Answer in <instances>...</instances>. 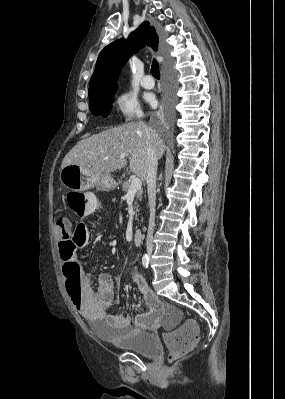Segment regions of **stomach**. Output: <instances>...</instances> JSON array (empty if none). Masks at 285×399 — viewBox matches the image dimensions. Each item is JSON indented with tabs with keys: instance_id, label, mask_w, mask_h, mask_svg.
I'll use <instances>...</instances> for the list:
<instances>
[{
	"instance_id": "0dacf381",
	"label": "stomach",
	"mask_w": 285,
	"mask_h": 399,
	"mask_svg": "<svg viewBox=\"0 0 285 399\" xmlns=\"http://www.w3.org/2000/svg\"><path fill=\"white\" fill-rule=\"evenodd\" d=\"M60 180L66 188L76 192H85L92 187L108 191L117 185L112 176H100L96 178L78 165H67L62 168Z\"/></svg>"
}]
</instances>
